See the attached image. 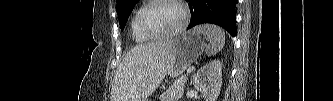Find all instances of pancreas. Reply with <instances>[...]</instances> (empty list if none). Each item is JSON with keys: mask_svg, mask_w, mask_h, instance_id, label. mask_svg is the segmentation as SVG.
<instances>
[{"mask_svg": "<svg viewBox=\"0 0 333 101\" xmlns=\"http://www.w3.org/2000/svg\"><path fill=\"white\" fill-rule=\"evenodd\" d=\"M186 76L180 77L179 81L170 85L168 89L161 94L160 101H178L184 92L186 86Z\"/></svg>", "mask_w": 333, "mask_h": 101, "instance_id": "1", "label": "pancreas"}]
</instances>
